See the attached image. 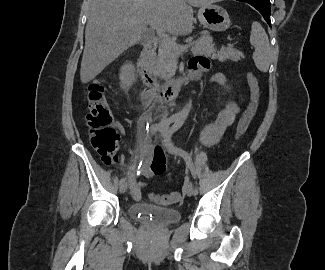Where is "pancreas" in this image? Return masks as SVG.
Masks as SVG:
<instances>
[{"instance_id":"1","label":"pancreas","mask_w":325,"mask_h":270,"mask_svg":"<svg viewBox=\"0 0 325 270\" xmlns=\"http://www.w3.org/2000/svg\"><path fill=\"white\" fill-rule=\"evenodd\" d=\"M180 46V45H179ZM195 55L210 56L221 62L226 60L239 61L244 58L242 51L233 48L232 45L222 47L219 51L215 48L213 39L209 35H202L193 42L191 49ZM180 51L170 45L162 43L158 50V56L155 61V69L157 74L164 80H168L174 76L177 68V59Z\"/></svg>"}]
</instances>
